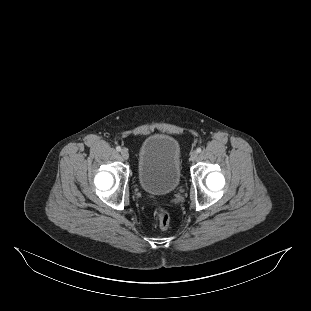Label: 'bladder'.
I'll use <instances>...</instances> for the list:
<instances>
[{"label": "bladder", "mask_w": 311, "mask_h": 311, "mask_svg": "<svg viewBox=\"0 0 311 311\" xmlns=\"http://www.w3.org/2000/svg\"><path fill=\"white\" fill-rule=\"evenodd\" d=\"M136 178L148 194L166 195L175 191L182 180L179 142L165 133L145 138L138 151Z\"/></svg>", "instance_id": "1"}]
</instances>
